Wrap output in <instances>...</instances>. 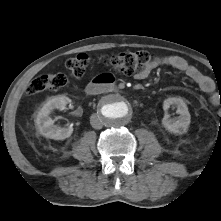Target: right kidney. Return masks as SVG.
I'll use <instances>...</instances> for the list:
<instances>
[{"mask_svg":"<svg viewBox=\"0 0 221 221\" xmlns=\"http://www.w3.org/2000/svg\"><path fill=\"white\" fill-rule=\"evenodd\" d=\"M71 100L64 96L58 95L50 98L39 110L35 119V125L39 133L46 138L54 140H64L71 136L72 126L60 127L54 124V120L49 116L53 109L63 110Z\"/></svg>","mask_w":221,"mask_h":221,"instance_id":"1","label":"right kidney"}]
</instances>
